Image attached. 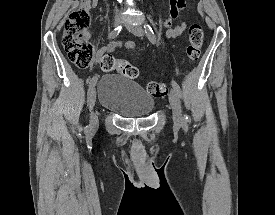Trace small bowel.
Here are the masks:
<instances>
[{
    "label": "small bowel",
    "instance_id": "1",
    "mask_svg": "<svg viewBox=\"0 0 275 215\" xmlns=\"http://www.w3.org/2000/svg\"><path fill=\"white\" fill-rule=\"evenodd\" d=\"M97 4H98V0H92L91 6L93 8H95ZM169 4H170V10H169L170 18L163 22V26L165 28H168L166 32L167 38H177L186 30L187 26L185 23L181 22V23H177L173 28H171L172 20H175L178 17L179 12L181 10H185L188 8V2L187 0H169ZM121 47L130 49V50H135L136 44L133 41H116L108 44L107 46L101 47L96 51L95 64H98L100 62L103 54L107 52H111L116 48H121Z\"/></svg>",
    "mask_w": 275,
    "mask_h": 215
}]
</instances>
